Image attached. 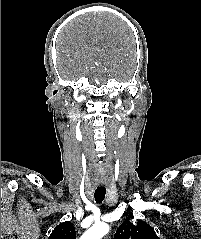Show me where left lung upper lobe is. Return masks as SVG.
Here are the masks:
<instances>
[{"label":"left lung upper lobe","instance_id":"left-lung-upper-lobe-1","mask_svg":"<svg viewBox=\"0 0 201 239\" xmlns=\"http://www.w3.org/2000/svg\"><path fill=\"white\" fill-rule=\"evenodd\" d=\"M123 222L114 235V239H160L153 228L144 221L138 220L137 225L130 222V218Z\"/></svg>","mask_w":201,"mask_h":239}]
</instances>
